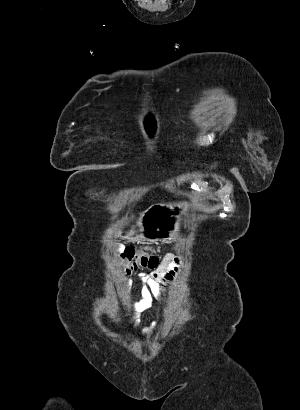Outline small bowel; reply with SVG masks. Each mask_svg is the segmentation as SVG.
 Instances as JSON below:
<instances>
[{"instance_id":"small-bowel-1","label":"small bowel","mask_w":300,"mask_h":410,"mask_svg":"<svg viewBox=\"0 0 300 410\" xmlns=\"http://www.w3.org/2000/svg\"><path fill=\"white\" fill-rule=\"evenodd\" d=\"M181 258L175 255H168L163 260L162 264L154 270L152 273L144 275L146 282V294L155 297L156 299H162L166 293L169 285L175 280L178 271L181 267ZM127 286L131 285V281H127ZM148 307L147 301H138L131 304L132 315L129 322L134 326L140 323V314ZM121 322L120 324H123ZM156 323H152L150 326L141 330L144 336H151Z\"/></svg>"}]
</instances>
